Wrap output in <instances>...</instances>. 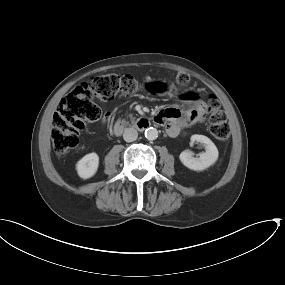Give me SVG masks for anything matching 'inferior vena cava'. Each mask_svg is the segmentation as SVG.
<instances>
[{"label": "inferior vena cava", "mask_w": 285, "mask_h": 285, "mask_svg": "<svg viewBox=\"0 0 285 285\" xmlns=\"http://www.w3.org/2000/svg\"><path fill=\"white\" fill-rule=\"evenodd\" d=\"M138 132L134 128H127L124 131L123 138L126 142H133L137 139Z\"/></svg>", "instance_id": "602c4592"}]
</instances>
